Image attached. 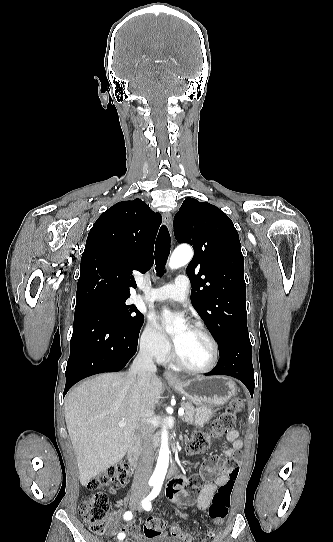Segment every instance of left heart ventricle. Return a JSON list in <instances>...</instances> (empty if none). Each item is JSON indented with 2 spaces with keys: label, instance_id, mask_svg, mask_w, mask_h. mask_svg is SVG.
I'll return each mask as SVG.
<instances>
[{
  "label": "left heart ventricle",
  "instance_id": "1",
  "mask_svg": "<svg viewBox=\"0 0 333 542\" xmlns=\"http://www.w3.org/2000/svg\"><path fill=\"white\" fill-rule=\"evenodd\" d=\"M171 340L174 352L188 366L204 368L210 364L212 346L200 333L184 326L172 334Z\"/></svg>",
  "mask_w": 333,
  "mask_h": 542
}]
</instances>
